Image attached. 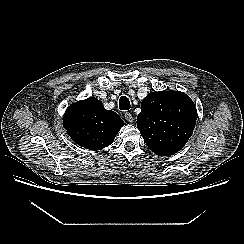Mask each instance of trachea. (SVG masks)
Returning <instances> with one entry per match:
<instances>
[{
    "label": "trachea",
    "instance_id": "obj_1",
    "mask_svg": "<svg viewBox=\"0 0 244 244\" xmlns=\"http://www.w3.org/2000/svg\"><path fill=\"white\" fill-rule=\"evenodd\" d=\"M131 107L130 101L126 96H121L119 99L120 110H129Z\"/></svg>",
    "mask_w": 244,
    "mask_h": 244
}]
</instances>
